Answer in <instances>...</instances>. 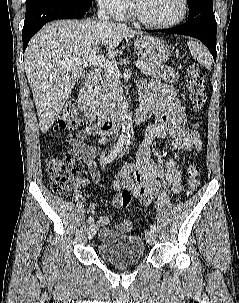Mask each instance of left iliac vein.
I'll return each mask as SVG.
<instances>
[{
    "mask_svg": "<svg viewBox=\"0 0 239 303\" xmlns=\"http://www.w3.org/2000/svg\"><path fill=\"white\" fill-rule=\"evenodd\" d=\"M145 237H146V240L149 244H155L156 241H157V235H156V232L155 231H147L146 234H145Z\"/></svg>",
    "mask_w": 239,
    "mask_h": 303,
    "instance_id": "left-iliac-vein-1",
    "label": "left iliac vein"
}]
</instances>
